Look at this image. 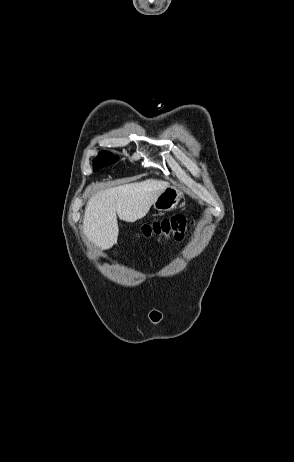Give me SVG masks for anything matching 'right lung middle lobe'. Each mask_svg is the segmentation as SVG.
Returning a JSON list of instances; mask_svg holds the SVG:
<instances>
[{
  "mask_svg": "<svg viewBox=\"0 0 294 462\" xmlns=\"http://www.w3.org/2000/svg\"><path fill=\"white\" fill-rule=\"evenodd\" d=\"M99 155H100L99 157H101V158H107V159H109V160L112 161V162H115V161H116V158H115L112 154H110V153H107V152H100Z\"/></svg>",
  "mask_w": 294,
  "mask_h": 462,
  "instance_id": "obj_1",
  "label": "right lung middle lobe"
}]
</instances>
